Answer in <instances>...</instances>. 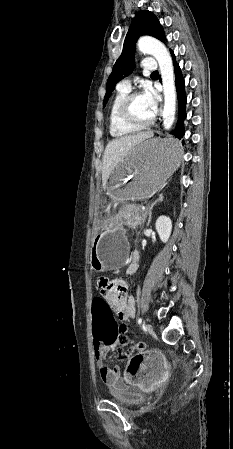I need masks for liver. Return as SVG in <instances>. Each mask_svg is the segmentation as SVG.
<instances>
[{"instance_id": "6515ba94", "label": "liver", "mask_w": 233, "mask_h": 449, "mask_svg": "<svg viewBox=\"0 0 233 449\" xmlns=\"http://www.w3.org/2000/svg\"><path fill=\"white\" fill-rule=\"evenodd\" d=\"M152 136L153 131L140 132L134 135L116 138L107 144L102 169V185L104 190L107 188L108 178L114 168L124 160L137 144Z\"/></svg>"}]
</instances>
